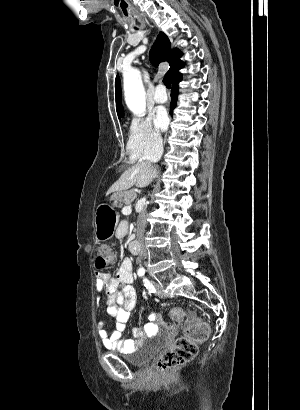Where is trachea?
<instances>
[{
    "instance_id": "3493384b",
    "label": "trachea",
    "mask_w": 300,
    "mask_h": 410,
    "mask_svg": "<svg viewBox=\"0 0 300 410\" xmlns=\"http://www.w3.org/2000/svg\"><path fill=\"white\" fill-rule=\"evenodd\" d=\"M163 83H164V85L166 86V88H168V89L171 88V81H170L169 77H165V78L163 79Z\"/></svg>"
}]
</instances>
